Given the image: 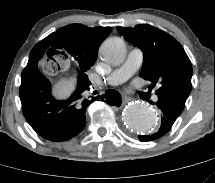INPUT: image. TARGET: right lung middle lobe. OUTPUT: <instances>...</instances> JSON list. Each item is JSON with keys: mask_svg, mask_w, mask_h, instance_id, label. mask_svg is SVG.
<instances>
[{"mask_svg": "<svg viewBox=\"0 0 215 183\" xmlns=\"http://www.w3.org/2000/svg\"><path fill=\"white\" fill-rule=\"evenodd\" d=\"M47 38H50L52 40L50 35ZM63 50V53L56 54H63L66 57L72 56L78 63V72H86L96 61L95 59L88 57L81 47L67 44L65 48H63Z\"/></svg>", "mask_w": 215, "mask_h": 183, "instance_id": "right-lung-middle-lobe-1", "label": "right lung middle lobe"}]
</instances>
